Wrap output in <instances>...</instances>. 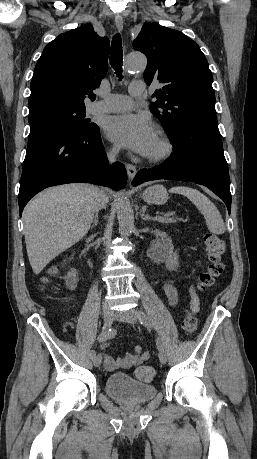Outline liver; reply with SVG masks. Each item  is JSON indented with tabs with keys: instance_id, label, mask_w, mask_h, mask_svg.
<instances>
[{
	"instance_id": "liver-1",
	"label": "liver",
	"mask_w": 257,
	"mask_h": 459,
	"mask_svg": "<svg viewBox=\"0 0 257 459\" xmlns=\"http://www.w3.org/2000/svg\"><path fill=\"white\" fill-rule=\"evenodd\" d=\"M99 193L90 184L61 185L41 192L26 206L24 236L35 274L88 233Z\"/></svg>"
}]
</instances>
